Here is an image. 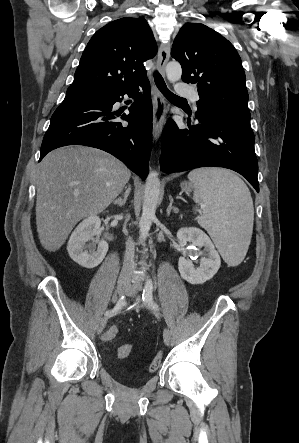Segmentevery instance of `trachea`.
<instances>
[{
    "mask_svg": "<svg viewBox=\"0 0 299 443\" xmlns=\"http://www.w3.org/2000/svg\"><path fill=\"white\" fill-rule=\"evenodd\" d=\"M154 79L157 87L167 99L173 102H186L184 98L175 95L167 88L164 79L157 71L154 72Z\"/></svg>",
    "mask_w": 299,
    "mask_h": 443,
    "instance_id": "3493384b",
    "label": "trachea"
}]
</instances>
